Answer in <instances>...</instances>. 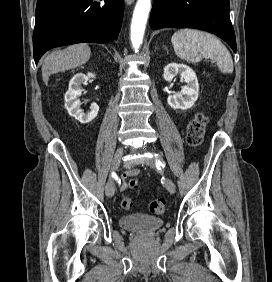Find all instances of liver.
I'll use <instances>...</instances> for the list:
<instances>
[{"label": "liver", "instance_id": "obj_1", "mask_svg": "<svg viewBox=\"0 0 272 282\" xmlns=\"http://www.w3.org/2000/svg\"><path fill=\"white\" fill-rule=\"evenodd\" d=\"M91 56L87 44H75L64 50H56L44 58L42 65V78L48 82L50 75L73 69L88 62Z\"/></svg>", "mask_w": 272, "mask_h": 282}]
</instances>
